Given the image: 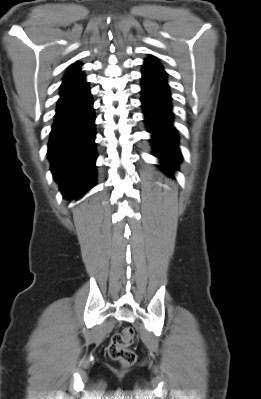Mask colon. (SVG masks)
I'll use <instances>...</instances> for the list:
<instances>
[{
	"mask_svg": "<svg viewBox=\"0 0 261 399\" xmlns=\"http://www.w3.org/2000/svg\"><path fill=\"white\" fill-rule=\"evenodd\" d=\"M135 331L131 327H125L115 333L107 346L109 357L125 366H131L136 361V354L129 349L135 341Z\"/></svg>",
	"mask_w": 261,
	"mask_h": 399,
	"instance_id": "obj_1",
	"label": "colon"
}]
</instances>
